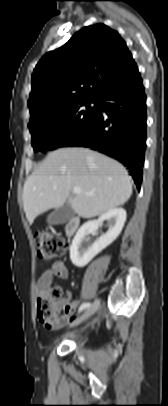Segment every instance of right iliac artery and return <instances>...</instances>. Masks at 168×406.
I'll return each instance as SVG.
<instances>
[{
  "label": "right iliac artery",
  "mask_w": 168,
  "mask_h": 406,
  "mask_svg": "<svg viewBox=\"0 0 168 406\" xmlns=\"http://www.w3.org/2000/svg\"><path fill=\"white\" fill-rule=\"evenodd\" d=\"M91 306V304L90 303H83L80 307H79V312H81L82 310H84V309H86V308H88V307H90Z\"/></svg>",
  "instance_id": "82829eb1"
}]
</instances>
